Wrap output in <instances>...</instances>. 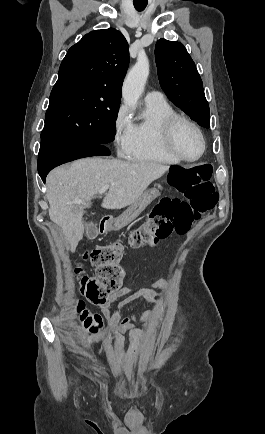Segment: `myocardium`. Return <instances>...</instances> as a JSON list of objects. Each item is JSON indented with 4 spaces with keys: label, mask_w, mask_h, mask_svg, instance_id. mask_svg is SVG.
I'll list each match as a JSON object with an SVG mask.
<instances>
[{
    "label": "myocardium",
    "mask_w": 265,
    "mask_h": 434,
    "mask_svg": "<svg viewBox=\"0 0 265 434\" xmlns=\"http://www.w3.org/2000/svg\"><path fill=\"white\" fill-rule=\"evenodd\" d=\"M181 125H187L191 127L197 133V135L201 140L202 151L200 155L194 159L185 158L180 153L177 147L176 136L178 135V130ZM165 141L171 154L180 162L187 163V164H193L201 161L204 155L206 154L207 146H208L207 139L204 133L202 132V130L200 129V127L191 119L180 114H174L168 119L166 123Z\"/></svg>",
    "instance_id": "obj_1"
}]
</instances>
